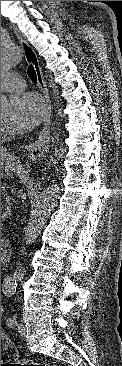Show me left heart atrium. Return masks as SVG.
I'll use <instances>...</instances> for the list:
<instances>
[{"instance_id": "obj_1", "label": "left heart atrium", "mask_w": 122, "mask_h": 366, "mask_svg": "<svg viewBox=\"0 0 122 366\" xmlns=\"http://www.w3.org/2000/svg\"><path fill=\"white\" fill-rule=\"evenodd\" d=\"M45 105L34 93L24 92L10 99L6 127L12 131L31 130L43 119Z\"/></svg>"}]
</instances>
